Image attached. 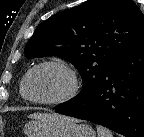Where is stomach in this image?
I'll return each instance as SVG.
<instances>
[{
    "label": "stomach",
    "instance_id": "1",
    "mask_svg": "<svg viewBox=\"0 0 144 137\" xmlns=\"http://www.w3.org/2000/svg\"><path fill=\"white\" fill-rule=\"evenodd\" d=\"M23 132L27 137H96L91 126L77 124L69 117L31 121L24 126Z\"/></svg>",
    "mask_w": 144,
    "mask_h": 137
}]
</instances>
